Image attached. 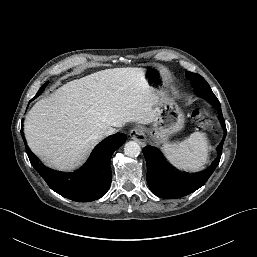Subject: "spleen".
I'll return each instance as SVG.
<instances>
[{
  "mask_svg": "<svg viewBox=\"0 0 257 257\" xmlns=\"http://www.w3.org/2000/svg\"><path fill=\"white\" fill-rule=\"evenodd\" d=\"M162 151L173 166L193 172L203 169L207 163L209 145L204 133L194 132L181 142L165 143Z\"/></svg>",
  "mask_w": 257,
  "mask_h": 257,
  "instance_id": "obj_1",
  "label": "spleen"
}]
</instances>
